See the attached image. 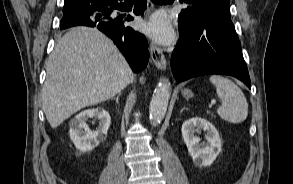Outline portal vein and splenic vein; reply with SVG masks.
I'll use <instances>...</instances> for the list:
<instances>
[{
	"mask_svg": "<svg viewBox=\"0 0 293 184\" xmlns=\"http://www.w3.org/2000/svg\"><path fill=\"white\" fill-rule=\"evenodd\" d=\"M216 101L215 100H212L211 101V104H210V107H212L213 105H215Z\"/></svg>",
	"mask_w": 293,
	"mask_h": 184,
	"instance_id": "obj_1",
	"label": "portal vein and splenic vein"
}]
</instances>
